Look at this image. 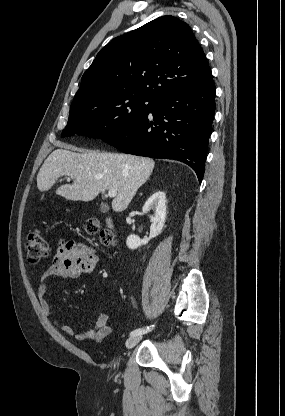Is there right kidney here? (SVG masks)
<instances>
[{
    "mask_svg": "<svg viewBox=\"0 0 285 416\" xmlns=\"http://www.w3.org/2000/svg\"><path fill=\"white\" fill-rule=\"evenodd\" d=\"M165 202L166 198L164 192H155V194L150 196L147 202H145L142 208L143 212L155 210L154 216H150V222H152V224L150 228L149 238H143V240H140V238L135 236V234H130L126 240V246H128L130 250H137L139 246H145V244H148L149 240H152V238H156V236L161 234L166 218Z\"/></svg>",
    "mask_w": 285,
    "mask_h": 416,
    "instance_id": "ca27d5eb",
    "label": "right kidney"
}]
</instances>
